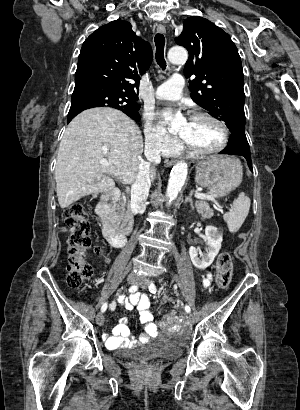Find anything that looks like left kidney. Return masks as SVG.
Here are the masks:
<instances>
[{"instance_id":"obj_1","label":"left kidney","mask_w":300,"mask_h":410,"mask_svg":"<svg viewBox=\"0 0 300 410\" xmlns=\"http://www.w3.org/2000/svg\"><path fill=\"white\" fill-rule=\"evenodd\" d=\"M205 235L206 245L208 246L206 253L200 254V251L193 246L189 248V255L193 265L196 268L202 270L206 269L212 264L214 258L219 253L223 240L222 231L214 226H206Z\"/></svg>"}]
</instances>
